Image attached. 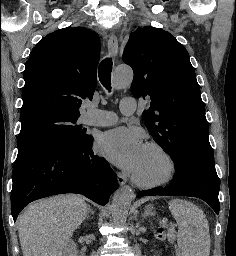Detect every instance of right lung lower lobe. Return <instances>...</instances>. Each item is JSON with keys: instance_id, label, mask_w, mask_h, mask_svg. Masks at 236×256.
Returning a JSON list of instances; mask_svg holds the SVG:
<instances>
[{"instance_id": "right-lung-lower-lobe-1", "label": "right lung lower lobe", "mask_w": 236, "mask_h": 256, "mask_svg": "<svg viewBox=\"0 0 236 256\" xmlns=\"http://www.w3.org/2000/svg\"><path fill=\"white\" fill-rule=\"evenodd\" d=\"M12 179L14 221L27 204L40 198L77 193L105 205L118 188L109 163L93 153L91 137L80 145L53 143L17 156Z\"/></svg>"}]
</instances>
